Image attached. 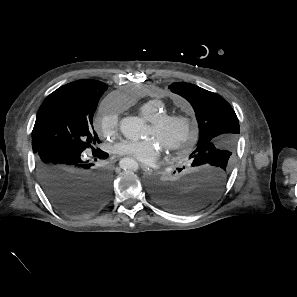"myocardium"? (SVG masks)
<instances>
[{
    "instance_id": "1",
    "label": "myocardium",
    "mask_w": 297,
    "mask_h": 297,
    "mask_svg": "<svg viewBox=\"0 0 297 297\" xmlns=\"http://www.w3.org/2000/svg\"><path fill=\"white\" fill-rule=\"evenodd\" d=\"M151 126L156 132L166 131L172 126H181V135L165 144V149L168 152L182 151L186 149L194 138L193 124L187 116L180 114H163L151 122Z\"/></svg>"
}]
</instances>
